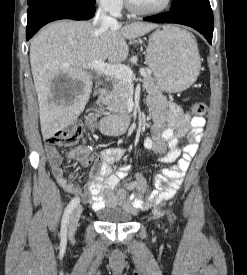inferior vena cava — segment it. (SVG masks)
<instances>
[{
	"mask_svg": "<svg viewBox=\"0 0 247 275\" xmlns=\"http://www.w3.org/2000/svg\"><path fill=\"white\" fill-rule=\"evenodd\" d=\"M93 25L107 29L109 27L117 26L118 22L115 18L108 16L103 7H100L95 15Z\"/></svg>",
	"mask_w": 247,
	"mask_h": 275,
	"instance_id": "602c4592",
	"label": "inferior vena cava"
}]
</instances>
